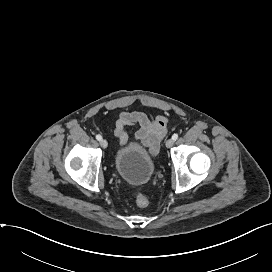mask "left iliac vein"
Segmentation results:
<instances>
[{
    "label": "left iliac vein",
    "mask_w": 272,
    "mask_h": 272,
    "mask_svg": "<svg viewBox=\"0 0 272 272\" xmlns=\"http://www.w3.org/2000/svg\"><path fill=\"white\" fill-rule=\"evenodd\" d=\"M173 144H174V141H173V139H168L167 141H166V147L167 148H170V147H172L173 146Z\"/></svg>",
    "instance_id": "1"
}]
</instances>
